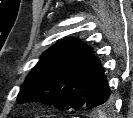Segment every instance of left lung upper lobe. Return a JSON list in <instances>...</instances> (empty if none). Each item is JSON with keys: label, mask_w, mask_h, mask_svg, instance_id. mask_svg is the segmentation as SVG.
Here are the masks:
<instances>
[{"label": "left lung upper lobe", "mask_w": 133, "mask_h": 118, "mask_svg": "<svg viewBox=\"0 0 133 118\" xmlns=\"http://www.w3.org/2000/svg\"><path fill=\"white\" fill-rule=\"evenodd\" d=\"M103 72L92 48L77 38L62 40L43 53L21 86L17 101L41 102L62 111L85 108Z\"/></svg>", "instance_id": "1"}]
</instances>
